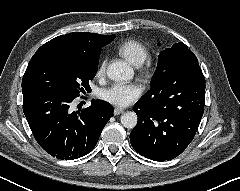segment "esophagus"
<instances>
[{"label": "esophagus", "mask_w": 240, "mask_h": 191, "mask_svg": "<svg viewBox=\"0 0 240 191\" xmlns=\"http://www.w3.org/2000/svg\"><path fill=\"white\" fill-rule=\"evenodd\" d=\"M123 112H124V110L121 109V108H115V109H114V115H120V114H122Z\"/></svg>", "instance_id": "1"}]
</instances>
